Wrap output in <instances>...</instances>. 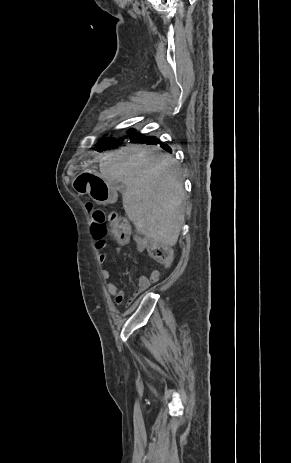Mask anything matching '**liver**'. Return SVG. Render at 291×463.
Listing matches in <instances>:
<instances>
[{
  "label": "liver",
  "mask_w": 291,
  "mask_h": 463,
  "mask_svg": "<svg viewBox=\"0 0 291 463\" xmlns=\"http://www.w3.org/2000/svg\"><path fill=\"white\" fill-rule=\"evenodd\" d=\"M158 148L128 145L100 161L101 176L123 183V208L136 230L165 246H174L184 224L183 184L172 156Z\"/></svg>",
  "instance_id": "liver-1"
}]
</instances>
